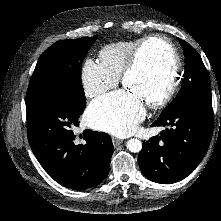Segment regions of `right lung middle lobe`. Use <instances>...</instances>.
I'll return each instance as SVG.
<instances>
[{
	"instance_id": "obj_1",
	"label": "right lung middle lobe",
	"mask_w": 221,
	"mask_h": 221,
	"mask_svg": "<svg viewBox=\"0 0 221 221\" xmlns=\"http://www.w3.org/2000/svg\"><path fill=\"white\" fill-rule=\"evenodd\" d=\"M97 36L56 42L39 58L30 79L26 107L52 93L63 91L86 104L81 82V66Z\"/></svg>"
}]
</instances>
